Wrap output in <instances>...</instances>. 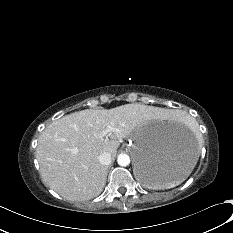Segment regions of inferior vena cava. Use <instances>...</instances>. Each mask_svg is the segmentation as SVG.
<instances>
[{
	"label": "inferior vena cava",
	"instance_id": "602c4592",
	"mask_svg": "<svg viewBox=\"0 0 233 233\" xmlns=\"http://www.w3.org/2000/svg\"><path fill=\"white\" fill-rule=\"evenodd\" d=\"M98 159L102 165L107 166L111 163V154L109 152H103L99 155Z\"/></svg>",
	"mask_w": 233,
	"mask_h": 233
}]
</instances>
